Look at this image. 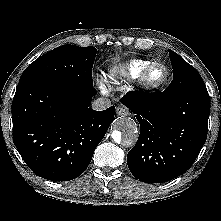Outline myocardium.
<instances>
[{
    "instance_id": "1",
    "label": "myocardium",
    "mask_w": 221,
    "mask_h": 221,
    "mask_svg": "<svg viewBox=\"0 0 221 221\" xmlns=\"http://www.w3.org/2000/svg\"><path fill=\"white\" fill-rule=\"evenodd\" d=\"M158 66L164 69L165 74L161 80L156 81V82L151 81L149 79V74L154 68ZM169 78H170V71L165 64L161 62H152L143 70V72L138 78V83H139V86L145 91H155L164 87L168 83Z\"/></svg>"
}]
</instances>
